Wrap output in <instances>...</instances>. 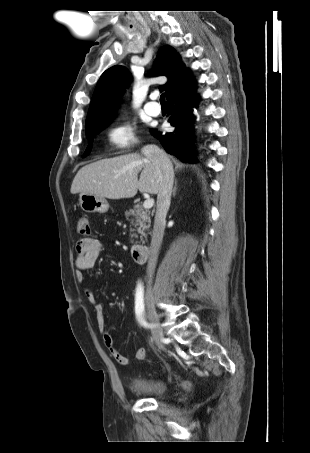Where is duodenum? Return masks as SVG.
<instances>
[{
	"instance_id": "obj_1",
	"label": "duodenum",
	"mask_w": 310,
	"mask_h": 453,
	"mask_svg": "<svg viewBox=\"0 0 310 453\" xmlns=\"http://www.w3.org/2000/svg\"><path fill=\"white\" fill-rule=\"evenodd\" d=\"M131 251L133 258L137 263H145L149 258L150 250L147 245H133Z\"/></svg>"
}]
</instances>
